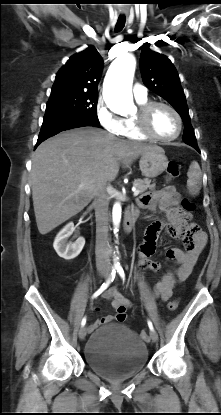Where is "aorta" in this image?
Here are the masks:
<instances>
[{
	"instance_id": "762f6f07",
	"label": "aorta",
	"mask_w": 221,
	"mask_h": 415,
	"mask_svg": "<svg viewBox=\"0 0 221 415\" xmlns=\"http://www.w3.org/2000/svg\"><path fill=\"white\" fill-rule=\"evenodd\" d=\"M135 68L136 59L132 54L118 57L109 67L103 85V98L110 110L123 114L133 107L132 82ZM121 212V204L116 202L112 210L114 233L118 231Z\"/></svg>"
}]
</instances>
